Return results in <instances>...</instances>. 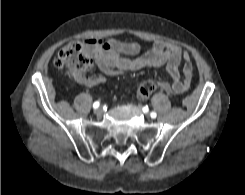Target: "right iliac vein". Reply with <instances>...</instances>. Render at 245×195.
<instances>
[{
    "label": "right iliac vein",
    "mask_w": 245,
    "mask_h": 195,
    "mask_svg": "<svg viewBox=\"0 0 245 195\" xmlns=\"http://www.w3.org/2000/svg\"><path fill=\"white\" fill-rule=\"evenodd\" d=\"M95 114L97 115V116H101L102 115V113H103V110L101 109V108H98V109H96L95 111Z\"/></svg>",
    "instance_id": "63e3f726"
}]
</instances>
